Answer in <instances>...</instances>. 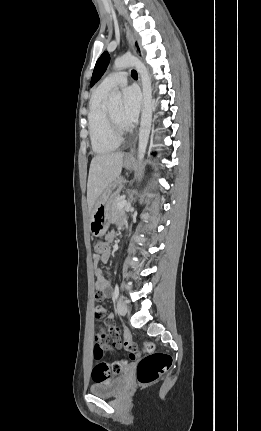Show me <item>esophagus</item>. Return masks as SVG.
<instances>
[{
    "instance_id": "1",
    "label": "esophagus",
    "mask_w": 261,
    "mask_h": 431,
    "mask_svg": "<svg viewBox=\"0 0 261 431\" xmlns=\"http://www.w3.org/2000/svg\"><path fill=\"white\" fill-rule=\"evenodd\" d=\"M125 32H126V38H127V42L129 44V46L133 49V44H134V37L133 34L131 32V30L129 29L128 26H125ZM135 149V143L133 144V146L130 148L129 152L127 153L128 156H130Z\"/></svg>"
}]
</instances>
